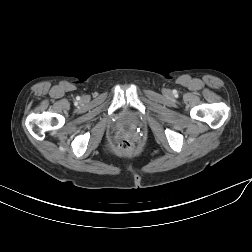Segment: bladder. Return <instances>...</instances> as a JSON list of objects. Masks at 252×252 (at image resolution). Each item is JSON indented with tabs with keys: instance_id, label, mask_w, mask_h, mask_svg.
Instances as JSON below:
<instances>
[{
	"instance_id": "obj_1",
	"label": "bladder",
	"mask_w": 252,
	"mask_h": 252,
	"mask_svg": "<svg viewBox=\"0 0 252 252\" xmlns=\"http://www.w3.org/2000/svg\"><path fill=\"white\" fill-rule=\"evenodd\" d=\"M124 120L127 125H130L134 122V118L131 115H125Z\"/></svg>"
}]
</instances>
